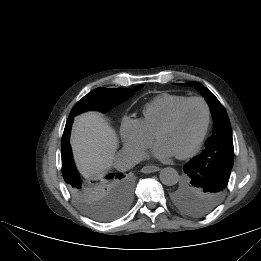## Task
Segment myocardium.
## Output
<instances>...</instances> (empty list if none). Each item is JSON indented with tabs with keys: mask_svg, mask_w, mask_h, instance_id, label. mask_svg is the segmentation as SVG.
Segmentation results:
<instances>
[{
	"mask_svg": "<svg viewBox=\"0 0 261 261\" xmlns=\"http://www.w3.org/2000/svg\"><path fill=\"white\" fill-rule=\"evenodd\" d=\"M191 102H199L204 106L205 122H204L203 129H202L199 137L196 139V141L183 152L176 154V156L181 159L187 158L190 155H192L194 152H196L200 148V146L202 145V143L204 142V140L207 136L210 122H211V109H210L208 102L203 97H200V96L188 97L186 100L181 102L174 109V111L171 113L169 118L161 125V127L158 129V131L155 135L156 139L158 140L160 133L163 132L164 130L172 127L177 122L183 109Z\"/></svg>",
	"mask_w": 261,
	"mask_h": 261,
	"instance_id": "1",
	"label": "myocardium"
}]
</instances>
